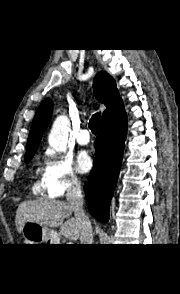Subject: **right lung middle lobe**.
Here are the masks:
<instances>
[{
  "instance_id": "dd1d6c3e",
  "label": "right lung middle lobe",
  "mask_w": 180,
  "mask_h": 294,
  "mask_svg": "<svg viewBox=\"0 0 180 294\" xmlns=\"http://www.w3.org/2000/svg\"><path fill=\"white\" fill-rule=\"evenodd\" d=\"M31 159H32V157L26 158V159H25V162H28V161L31 160Z\"/></svg>"
}]
</instances>
